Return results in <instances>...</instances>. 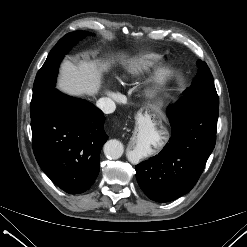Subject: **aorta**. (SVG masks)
<instances>
[{"label": "aorta", "instance_id": "1", "mask_svg": "<svg viewBox=\"0 0 247 247\" xmlns=\"http://www.w3.org/2000/svg\"><path fill=\"white\" fill-rule=\"evenodd\" d=\"M103 151L107 158L115 160L122 156L124 147L120 141L111 139L104 144Z\"/></svg>", "mask_w": 247, "mask_h": 247}]
</instances>
